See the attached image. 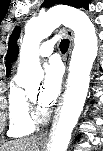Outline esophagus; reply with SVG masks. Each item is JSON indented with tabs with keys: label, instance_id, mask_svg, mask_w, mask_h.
Here are the masks:
<instances>
[{
	"label": "esophagus",
	"instance_id": "obj_1",
	"mask_svg": "<svg viewBox=\"0 0 103 151\" xmlns=\"http://www.w3.org/2000/svg\"><path fill=\"white\" fill-rule=\"evenodd\" d=\"M67 35H68V37L70 39V46H69V49H68V52H67L66 56L64 57V62H65L66 68L68 67L69 56H70L71 50L73 48V38H74L73 33L70 30L67 31ZM46 139H47V133L46 132H42L38 136L37 141L38 142H43Z\"/></svg>",
	"mask_w": 103,
	"mask_h": 151
}]
</instances>
